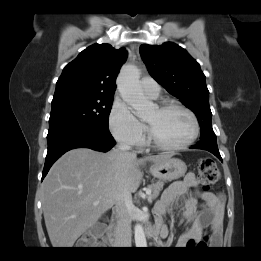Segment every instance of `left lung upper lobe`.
I'll list each match as a JSON object with an SVG mask.
<instances>
[{
	"mask_svg": "<svg viewBox=\"0 0 261 261\" xmlns=\"http://www.w3.org/2000/svg\"><path fill=\"white\" fill-rule=\"evenodd\" d=\"M140 54L150 75L195 113L201 128L200 140L216 139L211 124L209 91L199 63L172 42L160 46L143 44Z\"/></svg>",
	"mask_w": 261,
	"mask_h": 261,
	"instance_id": "left-lung-upper-lobe-1",
	"label": "left lung upper lobe"
}]
</instances>
